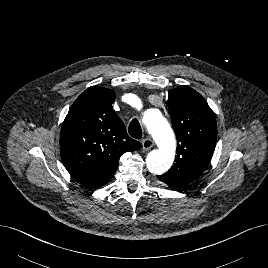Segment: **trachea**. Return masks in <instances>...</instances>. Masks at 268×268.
<instances>
[{
    "instance_id": "3493384b",
    "label": "trachea",
    "mask_w": 268,
    "mask_h": 268,
    "mask_svg": "<svg viewBox=\"0 0 268 268\" xmlns=\"http://www.w3.org/2000/svg\"><path fill=\"white\" fill-rule=\"evenodd\" d=\"M128 131L131 137L135 139H141L142 138V129L140 126V123L137 119H133L130 122V125L128 127Z\"/></svg>"
}]
</instances>
